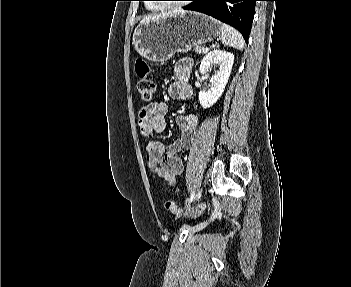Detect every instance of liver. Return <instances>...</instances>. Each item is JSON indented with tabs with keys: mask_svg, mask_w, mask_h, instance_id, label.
I'll list each match as a JSON object with an SVG mask.
<instances>
[{
	"mask_svg": "<svg viewBox=\"0 0 351 287\" xmlns=\"http://www.w3.org/2000/svg\"><path fill=\"white\" fill-rule=\"evenodd\" d=\"M183 13H186V11L179 9V10H175L173 12H168V13H163V14H158V15H150V16L145 17L141 21V23L146 22V21H150V20H154V19L165 18V17L172 16L175 14H183Z\"/></svg>",
	"mask_w": 351,
	"mask_h": 287,
	"instance_id": "6515ba94",
	"label": "liver"
}]
</instances>
